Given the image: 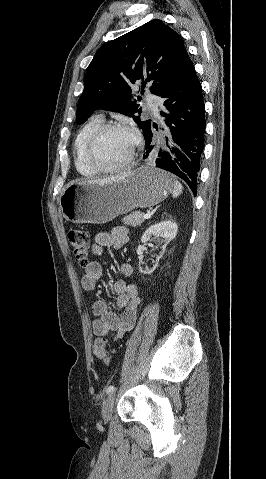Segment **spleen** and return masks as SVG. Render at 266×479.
Here are the masks:
<instances>
[{
    "label": "spleen",
    "instance_id": "3e777b00",
    "mask_svg": "<svg viewBox=\"0 0 266 479\" xmlns=\"http://www.w3.org/2000/svg\"><path fill=\"white\" fill-rule=\"evenodd\" d=\"M182 190H183L182 184L179 181L176 180L174 182V189H173V192H172L173 198L178 197L182 193Z\"/></svg>",
    "mask_w": 266,
    "mask_h": 479
}]
</instances>
